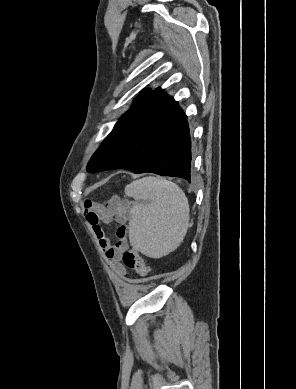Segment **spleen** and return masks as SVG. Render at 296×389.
I'll list each match as a JSON object with an SVG mask.
<instances>
[{
	"mask_svg": "<svg viewBox=\"0 0 296 389\" xmlns=\"http://www.w3.org/2000/svg\"><path fill=\"white\" fill-rule=\"evenodd\" d=\"M125 194L135 200L128 227L132 247L155 259L174 251L189 225L184 192L171 181L149 176L128 184Z\"/></svg>",
	"mask_w": 296,
	"mask_h": 389,
	"instance_id": "obj_1",
	"label": "spleen"
}]
</instances>
